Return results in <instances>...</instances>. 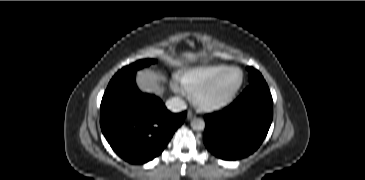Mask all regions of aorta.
<instances>
[{"instance_id": "obj_1", "label": "aorta", "mask_w": 365, "mask_h": 180, "mask_svg": "<svg viewBox=\"0 0 365 180\" xmlns=\"http://www.w3.org/2000/svg\"><path fill=\"white\" fill-rule=\"evenodd\" d=\"M191 127L193 130H196V131L204 130L205 122H204V120H202L200 118H195L191 121Z\"/></svg>"}]
</instances>
